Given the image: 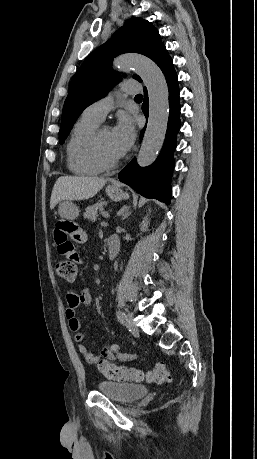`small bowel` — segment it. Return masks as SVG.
Segmentation results:
<instances>
[{
	"label": "small bowel",
	"instance_id": "small-bowel-1",
	"mask_svg": "<svg viewBox=\"0 0 257 459\" xmlns=\"http://www.w3.org/2000/svg\"><path fill=\"white\" fill-rule=\"evenodd\" d=\"M84 227H76L75 223H70L68 217H63L61 223L55 224V230L52 231V238L58 254L64 261H69L70 264H85L86 256L83 255L82 249L77 244H87L88 236L84 235ZM92 303V295L88 289L80 291H69L67 293V306L65 316L68 321L69 328L76 332L75 340L78 343V350L88 364H95L97 358L83 344L84 335L80 332L81 322L76 316V310L80 306H89ZM102 356L108 360H118L121 362L132 361L137 358L136 355L127 353L118 344L107 343L101 352Z\"/></svg>",
	"mask_w": 257,
	"mask_h": 459
}]
</instances>
